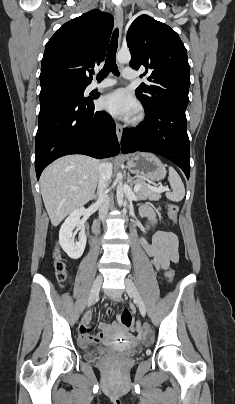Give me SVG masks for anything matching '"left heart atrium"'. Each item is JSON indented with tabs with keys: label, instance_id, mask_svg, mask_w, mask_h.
I'll return each instance as SVG.
<instances>
[{
	"label": "left heart atrium",
	"instance_id": "obj_1",
	"mask_svg": "<svg viewBox=\"0 0 235 404\" xmlns=\"http://www.w3.org/2000/svg\"><path fill=\"white\" fill-rule=\"evenodd\" d=\"M102 107L119 118L129 119L136 115L139 106L134 97L124 89L115 90L102 99Z\"/></svg>",
	"mask_w": 235,
	"mask_h": 404
}]
</instances>
